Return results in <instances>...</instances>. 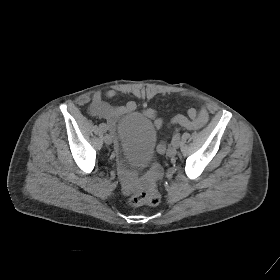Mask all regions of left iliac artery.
Returning a JSON list of instances; mask_svg holds the SVG:
<instances>
[{"instance_id":"1","label":"left iliac artery","mask_w":280,"mask_h":280,"mask_svg":"<svg viewBox=\"0 0 280 280\" xmlns=\"http://www.w3.org/2000/svg\"><path fill=\"white\" fill-rule=\"evenodd\" d=\"M179 142H180V134H179V132H176V133L173 135L171 144H172L173 147L178 148Z\"/></svg>"}]
</instances>
